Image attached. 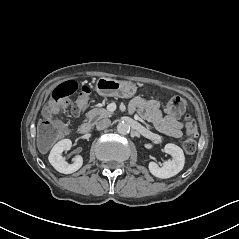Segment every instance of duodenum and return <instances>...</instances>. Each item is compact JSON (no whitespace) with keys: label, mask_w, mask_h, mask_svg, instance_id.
I'll return each instance as SVG.
<instances>
[{"label":"duodenum","mask_w":239,"mask_h":239,"mask_svg":"<svg viewBox=\"0 0 239 239\" xmlns=\"http://www.w3.org/2000/svg\"><path fill=\"white\" fill-rule=\"evenodd\" d=\"M91 130V124L88 122H84L79 126V133L85 135L89 133Z\"/></svg>","instance_id":"410a0bca"}]
</instances>
